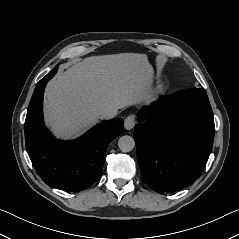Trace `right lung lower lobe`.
<instances>
[{
  "mask_svg": "<svg viewBox=\"0 0 239 239\" xmlns=\"http://www.w3.org/2000/svg\"><path fill=\"white\" fill-rule=\"evenodd\" d=\"M52 77L41 79L32 95L25 120L26 150L46 184L82 191L100 178L108 144L123 133V119L98 124L73 141L56 140L45 128L42 113L44 89Z\"/></svg>",
  "mask_w": 239,
  "mask_h": 239,
  "instance_id": "right-lung-lower-lobe-1",
  "label": "right lung lower lobe"
}]
</instances>
